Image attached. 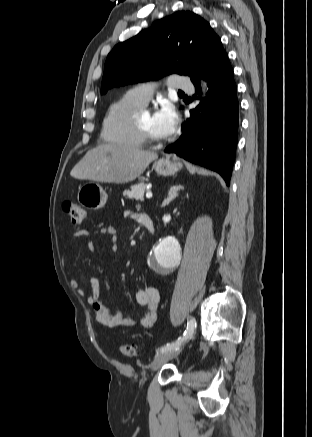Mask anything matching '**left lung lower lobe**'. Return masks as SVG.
Here are the masks:
<instances>
[{
	"instance_id": "left-lung-lower-lobe-1",
	"label": "left lung lower lobe",
	"mask_w": 312,
	"mask_h": 437,
	"mask_svg": "<svg viewBox=\"0 0 312 437\" xmlns=\"http://www.w3.org/2000/svg\"><path fill=\"white\" fill-rule=\"evenodd\" d=\"M204 104L190 111L178 141L165 149L178 156L217 171L229 185L238 140V100L233 70L222 51L207 73ZM201 94L199 80L193 83Z\"/></svg>"
}]
</instances>
